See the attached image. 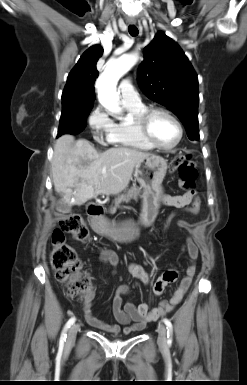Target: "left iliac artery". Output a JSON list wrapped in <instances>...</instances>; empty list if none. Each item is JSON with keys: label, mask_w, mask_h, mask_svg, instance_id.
<instances>
[{"label": "left iliac artery", "mask_w": 247, "mask_h": 385, "mask_svg": "<svg viewBox=\"0 0 247 385\" xmlns=\"http://www.w3.org/2000/svg\"><path fill=\"white\" fill-rule=\"evenodd\" d=\"M163 322L165 323L167 330H168L167 331V338H168L167 342H168V344H171L172 343V332H173L172 323L167 318H164Z\"/></svg>", "instance_id": "44dca946"}]
</instances>
